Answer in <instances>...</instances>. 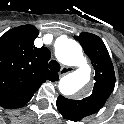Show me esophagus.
<instances>
[{
  "mask_svg": "<svg viewBox=\"0 0 124 124\" xmlns=\"http://www.w3.org/2000/svg\"><path fill=\"white\" fill-rule=\"evenodd\" d=\"M73 69H74V68H72V67H66V66H64V67L61 68V70H60V72H59V76L62 77V76H64V75H66V74L72 72Z\"/></svg>",
  "mask_w": 124,
  "mask_h": 124,
  "instance_id": "34e87169",
  "label": "esophagus"
}]
</instances>
